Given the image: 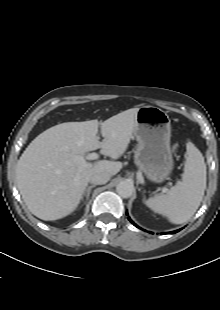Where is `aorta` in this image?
Returning <instances> with one entry per match:
<instances>
[{
    "label": "aorta",
    "instance_id": "obj_1",
    "mask_svg": "<svg viewBox=\"0 0 220 310\" xmlns=\"http://www.w3.org/2000/svg\"><path fill=\"white\" fill-rule=\"evenodd\" d=\"M116 191L121 197L129 198L133 194L134 187L133 184L129 181H121L120 183H118Z\"/></svg>",
    "mask_w": 220,
    "mask_h": 310
}]
</instances>
